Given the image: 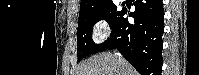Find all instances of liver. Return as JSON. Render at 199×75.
<instances>
[{
    "label": "liver",
    "mask_w": 199,
    "mask_h": 75,
    "mask_svg": "<svg viewBox=\"0 0 199 75\" xmlns=\"http://www.w3.org/2000/svg\"><path fill=\"white\" fill-rule=\"evenodd\" d=\"M77 75H138L134 68L117 53L105 52L81 63Z\"/></svg>",
    "instance_id": "liver-1"
}]
</instances>
